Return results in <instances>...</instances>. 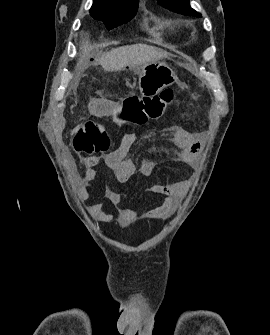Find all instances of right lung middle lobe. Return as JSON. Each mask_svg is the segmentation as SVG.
Returning <instances> with one entry per match:
<instances>
[{
    "instance_id": "obj_1",
    "label": "right lung middle lobe",
    "mask_w": 270,
    "mask_h": 335,
    "mask_svg": "<svg viewBox=\"0 0 270 335\" xmlns=\"http://www.w3.org/2000/svg\"><path fill=\"white\" fill-rule=\"evenodd\" d=\"M137 9L138 4L116 7H100L93 4L90 10V15L95 20L102 21L106 28L110 30L129 22L136 15Z\"/></svg>"
}]
</instances>
